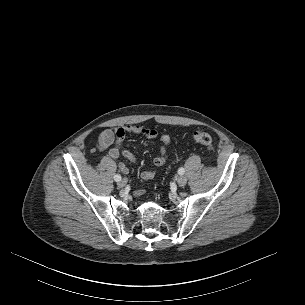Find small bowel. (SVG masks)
Returning <instances> with one entry per match:
<instances>
[{
  "instance_id": "c3829d8e",
  "label": "small bowel",
  "mask_w": 305,
  "mask_h": 305,
  "mask_svg": "<svg viewBox=\"0 0 305 305\" xmlns=\"http://www.w3.org/2000/svg\"><path fill=\"white\" fill-rule=\"evenodd\" d=\"M139 135L149 139H155L158 137V132L155 129L146 128L140 125H124L114 128H107L103 130L98 138V148L102 151H108V155L113 159L124 157L132 163L137 162V157L129 150H122L121 144L126 136ZM162 145L159 153L154 158L155 168L145 170L141 173V179L149 181L156 176L157 168L165 165L168 159L167 147L171 143V138L167 134H162L159 137ZM119 169L123 173H128L129 169L124 163L119 164ZM146 192L145 189H138L135 191L136 196H141Z\"/></svg>"
}]
</instances>
